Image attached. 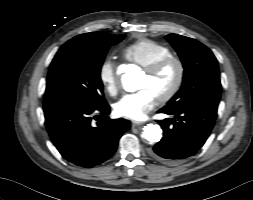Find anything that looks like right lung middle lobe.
<instances>
[{
  "instance_id": "obj_1",
  "label": "right lung middle lobe",
  "mask_w": 253,
  "mask_h": 200,
  "mask_svg": "<svg viewBox=\"0 0 253 200\" xmlns=\"http://www.w3.org/2000/svg\"><path fill=\"white\" fill-rule=\"evenodd\" d=\"M124 35L104 40L74 37L67 41L51 62L44 98V107L71 104L94 107L105 102L100 70L110 46Z\"/></svg>"
}]
</instances>
